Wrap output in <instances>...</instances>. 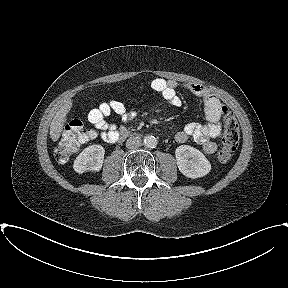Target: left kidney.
I'll return each instance as SVG.
<instances>
[{
    "label": "left kidney",
    "mask_w": 288,
    "mask_h": 288,
    "mask_svg": "<svg viewBox=\"0 0 288 288\" xmlns=\"http://www.w3.org/2000/svg\"><path fill=\"white\" fill-rule=\"evenodd\" d=\"M179 171L188 178H200L211 170V164L205 155L189 145H181L175 150Z\"/></svg>",
    "instance_id": "1"
}]
</instances>
